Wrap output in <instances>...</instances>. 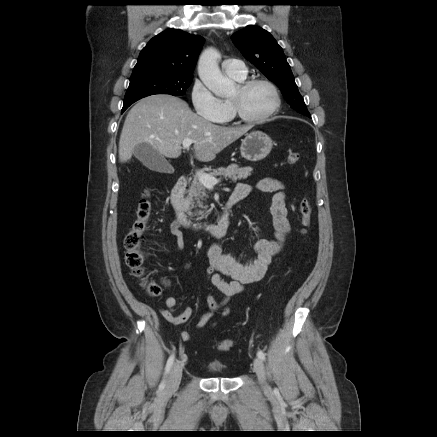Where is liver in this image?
Wrapping results in <instances>:
<instances>
[{"instance_id":"liver-1","label":"liver","mask_w":437,"mask_h":437,"mask_svg":"<svg viewBox=\"0 0 437 437\" xmlns=\"http://www.w3.org/2000/svg\"><path fill=\"white\" fill-rule=\"evenodd\" d=\"M250 128L219 126L193 113L177 97L151 95L137 102L126 116L119 140V161L130 160L141 143L150 144L163 157L178 158L183 140L191 139L195 141V158L209 162Z\"/></svg>"}]
</instances>
